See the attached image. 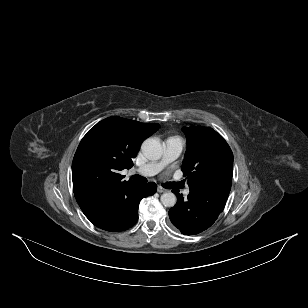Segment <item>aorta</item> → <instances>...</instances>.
<instances>
[{
  "label": "aorta",
  "instance_id": "obj_1",
  "mask_svg": "<svg viewBox=\"0 0 308 308\" xmlns=\"http://www.w3.org/2000/svg\"><path fill=\"white\" fill-rule=\"evenodd\" d=\"M144 156L149 160H158L163 155L161 143L154 138L146 139L141 146ZM161 203L165 207H173L176 204V196L172 192L163 193L160 197Z\"/></svg>",
  "mask_w": 308,
  "mask_h": 308
}]
</instances>
